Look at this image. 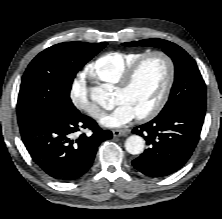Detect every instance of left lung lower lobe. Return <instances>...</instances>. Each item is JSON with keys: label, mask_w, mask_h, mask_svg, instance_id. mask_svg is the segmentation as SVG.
<instances>
[{"label": "left lung lower lobe", "mask_w": 222, "mask_h": 219, "mask_svg": "<svg viewBox=\"0 0 222 219\" xmlns=\"http://www.w3.org/2000/svg\"><path fill=\"white\" fill-rule=\"evenodd\" d=\"M204 117L205 111L175 106L135 127L132 132L146 139L148 149L132 161L133 166L150 177H162L179 170L199 141Z\"/></svg>", "instance_id": "1"}]
</instances>
